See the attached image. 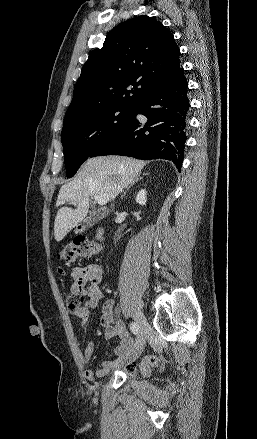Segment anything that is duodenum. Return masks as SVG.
Returning a JSON list of instances; mask_svg holds the SVG:
<instances>
[{
	"label": "duodenum",
	"instance_id": "1",
	"mask_svg": "<svg viewBox=\"0 0 257 439\" xmlns=\"http://www.w3.org/2000/svg\"><path fill=\"white\" fill-rule=\"evenodd\" d=\"M102 237V231L99 229L97 231V238L100 239Z\"/></svg>",
	"mask_w": 257,
	"mask_h": 439
}]
</instances>
